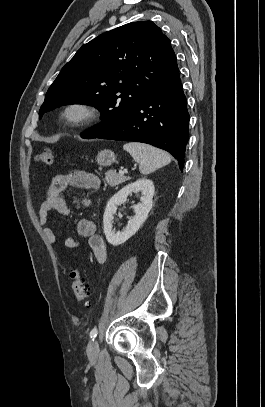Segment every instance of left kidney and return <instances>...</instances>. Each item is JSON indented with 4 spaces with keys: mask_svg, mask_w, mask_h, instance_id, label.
<instances>
[{
    "mask_svg": "<svg viewBox=\"0 0 265 407\" xmlns=\"http://www.w3.org/2000/svg\"><path fill=\"white\" fill-rule=\"evenodd\" d=\"M154 191L153 182L149 179L141 178L126 185L110 198L103 216L104 233L110 244L114 246L123 244L139 230L152 208ZM138 192H141L142 197L141 203L133 206L135 216L128 221L127 226L122 232L115 233L112 229V223L117 207L126 202L129 194Z\"/></svg>",
    "mask_w": 265,
    "mask_h": 407,
    "instance_id": "1",
    "label": "left kidney"
}]
</instances>
